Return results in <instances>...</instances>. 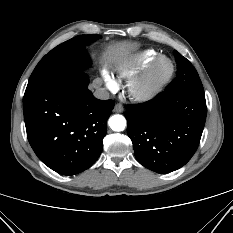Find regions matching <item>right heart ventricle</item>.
Here are the masks:
<instances>
[{"label": "right heart ventricle", "mask_w": 233, "mask_h": 233, "mask_svg": "<svg viewBox=\"0 0 233 233\" xmlns=\"http://www.w3.org/2000/svg\"><path fill=\"white\" fill-rule=\"evenodd\" d=\"M159 56L158 52L154 50H146L140 55V67L138 69L147 67L150 65L157 57ZM138 69L130 70V71H123L118 74L119 79H128L131 78Z\"/></svg>", "instance_id": "obj_1"}]
</instances>
